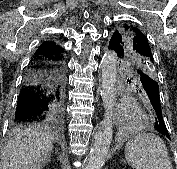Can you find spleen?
Segmentation results:
<instances>
[{"instance_id": "1", "label": "spleen", "mask_w": 177, "mask_h": 169, "mask_svg": "<svg viewBox=\"0 0 177 169\" xmlns=\"http://www.w3.org/2000/svg\"><path fill=\"white\" fill-rule=\"evenodd\" d=\"M125 157L133 169H173L166 144L152 133H142L129 140Z\"/></svg>"}]
</instances>
